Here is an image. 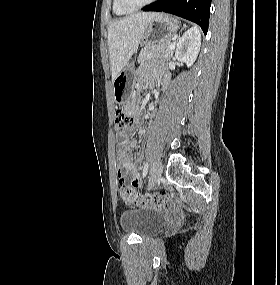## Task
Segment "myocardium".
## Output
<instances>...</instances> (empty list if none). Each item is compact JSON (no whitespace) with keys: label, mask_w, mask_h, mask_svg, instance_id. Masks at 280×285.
<instances>
[{"label":"myocardium","mask_w":280,"mask_h":285,"mask_svg":"<svg viewBox=\"0 0 280 285\" xmlns=\"http://www.w3.org/2000/svg\"><path fill=\"white\" fill-rule=\"evenodd\" d=\"M118 1L125 10L135 11L154 3L156 0H146L145 2L137 5L130 3L128 0H118Z\"/></svg>","instance_id":"f54148a6"}]
</instances>
